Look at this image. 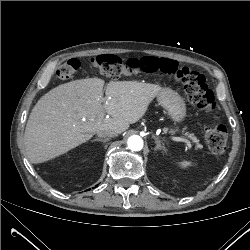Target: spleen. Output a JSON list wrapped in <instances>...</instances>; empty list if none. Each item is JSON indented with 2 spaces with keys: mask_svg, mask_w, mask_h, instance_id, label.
I'll return each mask as SVG.
<instances>
[{
  "mask_svg": "<svg viewBox=\"0 0 250 250\" xmlns=\"http://www.w3.org/2000/svg\"><path fill=\"white\" fill-rule=\"evenodd\" d=\"M189 165H191V163L189 161H182V162H180V166L182 168H186Z\"/></svg>",
  "mask_w": 250,
  "mask_h": 250,
  "instance_id": "obj_1",
  "label": "spleen"
}]
</instances>
